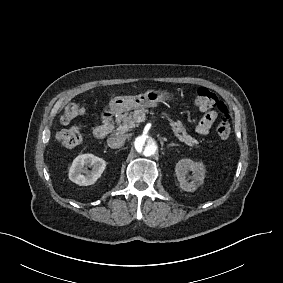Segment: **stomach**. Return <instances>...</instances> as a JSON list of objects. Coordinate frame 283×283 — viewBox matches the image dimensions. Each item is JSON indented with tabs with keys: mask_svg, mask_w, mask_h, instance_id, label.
<instances>
[{
	"mask_svg": "<svg viewBox=\"0 0 283 283\" xmlns=\"http://www.w3.org/2000/svg\"><path fill=\"white\" fill-rule=\"evenodd\" d=\"M171 95L164 90H148L144 94L136 96H117L110 100V110L120 115L123 112H127L133 109L156 107L159 102L168 100Z\"/></svg>",
	"mask_w": 283,
	"mask_h": 283,
	"instance_id": "0dacf381",
	"label": "stomach"
}]
</instances>
